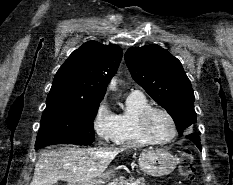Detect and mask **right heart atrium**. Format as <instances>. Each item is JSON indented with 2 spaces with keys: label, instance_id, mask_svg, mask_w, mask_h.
Wrapping results in <instances>:
<instances>
[{
  "label": "right heart atrium",
  "instance_id": "d8ad5b80",
  "mask_svg": "<svg viewBox=\"0 0 233 185\" xmlns=\"http://www.w3.org/2000/svg\"><path fill=\"white\" fill-rule=\"evenodd\" d=\"M92 127L102 142L109 143L116 138V115L109 108L106 100H101L92 117Z\"/></svg>",
  "mask_w": 233,
  "mask_h": 185
}]
</instances>
